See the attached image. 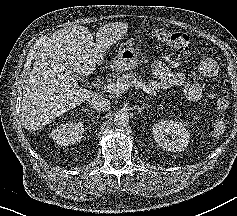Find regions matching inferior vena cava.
Wrapping results in <instances>:
<instances>
[{
	"mask_svg": "<svg viewBox=\"0 0 237 216\" xmlns=\"http://www.w3.org/2000/svg\"><path fill=\"white\" fill-rule=\"evenodd\" d=\"M88 105L98 111H108L111 103L104 94L94 93L91 98H88Z\"/></svg>",
	"mask_w": 237,
	"mask_h": 216,
	"instance_id": "602c4592",
	"label": "inferior vena cava"
}]
</instances>
